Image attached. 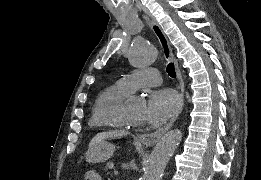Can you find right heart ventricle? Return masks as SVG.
Listing matches in <instances>:
<instances>
[{
    "mask_svg": "<svg viewBox=\"0 0 261 180\" xmlns=\"http://www.w3.org/2000/svg\"><path fill=\"white\" fill-rule=\"evenodd\" d=\"M128 93L118 84L104 89L97 97L89 119V130L95 131H118L115 123V113L121 107H125ZM119 136H114L117 138ZM113 139V138H92Z\"/></svg>",
    "mask_w": 261,
    "mask_h": 180,
    "instance_id": "right-heart-ventricle-1",
    "label": "right heart ventricle"
}]
</instances>
